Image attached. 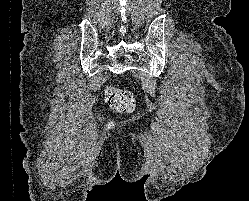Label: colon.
<instances>
[{"mask_svg":"<svg viewBox=\"0 0 249 201\" xmlns=\"http://www.w3.org/2000/svg\"><path fill=\"white\" fill-rule=\"evenodd\" d=\"M105 102L115 111L131 112L134 108V97L126 90L107 88L104 94Z\"/></svg>","mask_w":249,"mask_h":201,"instance_id":"5ec220e1","label":"colon"}]
</instances>
